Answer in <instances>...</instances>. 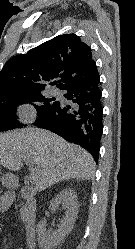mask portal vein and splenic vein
I'll list each match as a JSON object with an SVG mask.
<instances>
[{
  "label": "portal vein and splenic vein",
  "instance_id": "portal-vein-and-splenic-vein-1",
  "mask_svg": "<svg viewBox=\"0 0 135 249\" xmlns=\"http://www.w3.org/2000/svg\"><path fill=\"white\" fill-rule=\"evenodd\" d=\"M23 160H24V162H25V163L29 166V168H30V175H29L28 181H29L30 183H33V182L36 180V171H37V169H36V168H35V169L33 168V167H34V163L31 162V160H30L29 158L24 157Z\"/></svg>",
  "mask_w": 135,
  "mask_h": 249
}]
</instances>
